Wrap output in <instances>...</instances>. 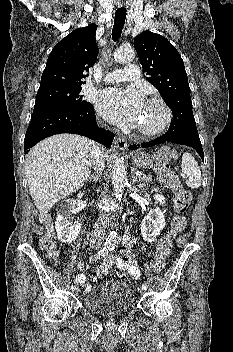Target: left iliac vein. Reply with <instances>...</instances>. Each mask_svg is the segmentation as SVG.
Returning a JSON list of instances; mask_svg holds the SVG:
<instances>
[{"label":"left iliac vein","mask_w":233,"mask_h":352,"mask_svg":"<svg viewBox=\"0 0 233 352\" xmlns=\"http://www.w3.org/2000/svg\"><path fill=\"white\" fill-rule=\"evenodd\" d=\"M139 292H140L141 294H145L146 290H144L143 288H141V289L139 290Z\"/></svg>","instance_id":"left-iliac-vein-1"}]
</instances>
